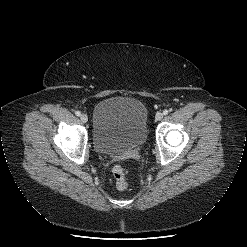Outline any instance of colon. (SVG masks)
Segmentation results:
<instances>
[{
    "instance_id": "colon-1",
    "label": "colon",
    "mask_w": 247,
    "mask_h": 247,
    "mask_svg": "<svg viewBox=\"0 0 247 247\" xmlns=\"http://www.w3.org/2000/svg\"><path fill=\"white\" fill-rule=\"evenodd\" d=\"M113 176L115 179L116 187L119 190H125L127 188V179L123 167L116 165L113 168Z\"/></svg>"
}]
</instances>
